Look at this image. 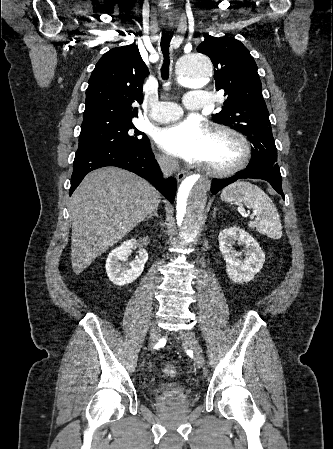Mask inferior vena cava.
<instances>
[{
    "instance_id": "inferior-vena-cava-1",
    "label": "inferior vena cava",
    "mask_w": 333,
    "mask_h": 449,
    "mask_svg": "<svg viewBox=\"0 0 333 449\" xmlns=\"http://www.w3.org/2000/svg\"><path fill=\"white\" fill-rule=\"evenodd\" d=\"M158 163L164 174V177H169L178 169V161L172 157L168 156L159 157Z\"/></svg>"
}]
</instances>
